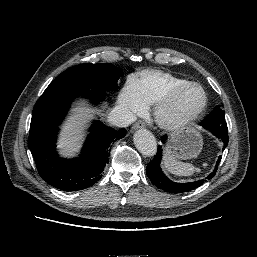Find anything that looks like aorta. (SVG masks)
I'll use <instances>...</instances> for the list:
<instances>
[{
    "label": "aorta",
    "mask_w": 257,
    "mask_h": 257,
    "mask_svg": "<svg viewBox=\"0 0 257 257\" xmlns=\"http://www.w3.org/2000/svg\"><path fill=\"white\" fill-rule=\"evenodd\" d=\"M134 144L138 151L145 156H154L157 151V142L154 135L146 130L139 129L134 134Z\"/></svg>",
    "instance_id": "762f6f07"
}]
</instances>
